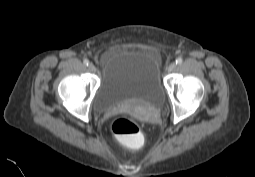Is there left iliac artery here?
<instances>
[{
	"label": "left iliac artery",
	"mask_w": 255,
	"mask_h": 177,
	"mask_svg": "<svg viewBox=\"0 0 255 177\" xmlns=\"http://www.w3.org/2000/svg\"><path fill=\"white\" fill-rule=\"evenodd\" d=\"M182 62H183V59L181 57H178L176 59V64L180 65V64H182Z\"/></svg>",
	"instance_id": "obj_1"
}]
</instances>
